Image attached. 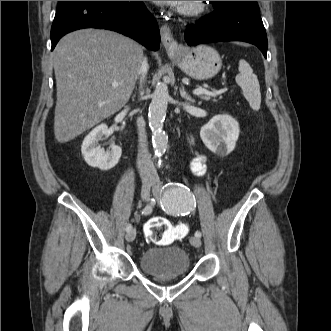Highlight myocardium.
<instances>
[{"mask_svg": "<svg viewBox=\"0 0 331 331\" xmlns=\"http://www.w3.org/2000/svg\"><path fill=\"white\" fill-rule=\"evenodd\" d=\"M205 4L203 1H184L178 7L180 14L184 16H195L203 12Z\"/></svg>", "mask_w": 331, "mask_h": 331, "instance_id": "myocardium-1", "label": "myocardium"}]
</instances>
